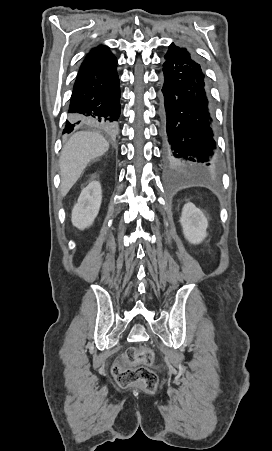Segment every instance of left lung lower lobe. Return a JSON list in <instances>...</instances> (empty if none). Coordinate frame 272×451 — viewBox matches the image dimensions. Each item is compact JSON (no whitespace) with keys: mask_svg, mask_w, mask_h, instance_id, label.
<instances>
[{"mask_svg":"<svg viewBox=\"0 0 272 451\" xmlns=\"http://www.w3.org/2000/svg\"><path fill=\"white\" fill-rule=\"evenodd\" d=\"M164 58L160 109L164 160L172 167L216 169L219 158L205 74L193 55L174 43Z\"/></svg>","mask_w":272,"mask_h":451,"instance_id":"obj_1","label":"left lung lower lobe"}]
</instances>
